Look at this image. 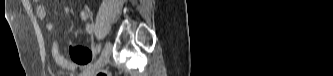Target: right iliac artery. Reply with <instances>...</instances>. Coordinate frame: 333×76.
<instances>
[{"label":"right iliac artery","mask_w":333,"mask_h":76,"mask_svg":"<svg viewBox=\"0 0 333 76\" xmlns=\"http://www.w3.org/2000/svg\"><path fill=\"white\" fill-rule=\"evenodd\" d=\"M100 50H101V45L99 44V45H97L96 47H95V49H94V53H95V55H97L99 52H100ZM90 68V67H89Z\"/></svg>","instance_id":"obj_1"}]
</instances>
